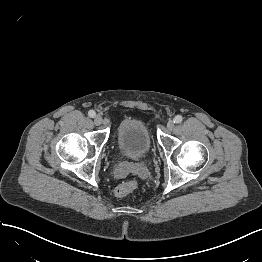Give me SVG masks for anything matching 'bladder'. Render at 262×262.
<instances>
[{
  "label": "bladder",
  "instance_id": "bladder-1",
  "mask_svg": "<svg viewBox=\"0 0 262 262\" xmlns=\"http://www.w3.org/2000/svg\"><path fill=\"white\" fill-rule=\"evenodd\" d=\"M118 144L126 158L135 159L145 155L152 147V137L146 124L128 117L118 127Z\"/></svg>",
  "mask_w": 262,
  "mask_h": 262
}]
</instances>
